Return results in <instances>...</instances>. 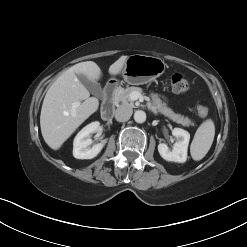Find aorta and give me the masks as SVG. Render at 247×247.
Masks as SVG:
<instances>
[{
	"label": "aorta",
	"mask_w": 247,
	"mask_h": 247,
	"mask_svg": "<svg viewBox=\"0 0 247 247\" xmlns=\"http://www.w3.org/2000/svg\"><path fill=\"white\" fill-rule=\"evenodd\" d=\"M134 120L137 123H144L146 121V113L142 110H137L134 113Z\"/></svg>",
	"instance_id": "1"
}]
</instances>
